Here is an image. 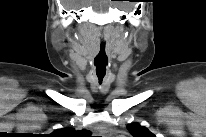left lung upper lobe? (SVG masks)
<instances>
[{"mask_svg": "<svg viewBox=\"0 0 206 137\" xmlns=\"http://www.w3.org/2000/svg\"><path fill=\"white\" fill-rule=\"evenodd\" d=\"M127 129L133 137H155L146 127L138 123L129 124Z\"/></svg>", "mask_w": 206, "mask_h": 137, "instance_id": "left-lung-upper-lobe-1", "label": "left lung upper lobe"}]
</instances>
